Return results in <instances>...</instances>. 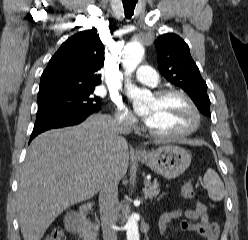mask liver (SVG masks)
Listing matches in <instances>:
<instances>
[{"mask_svg":"<svg viewBox=\"0 0 248 240\" xmlns=\"http://www.w3.org/2000/svg\"><path fill=\"white\" fill-rule=\"evenodd\" d=\"M129 158L126 140L114 132V120L107 115L95 114L80 125L38 135L19 172L23 239L41 240L59 214L96 195L107 174L122 179Z\"/></svg>","mask_w":248,"mask_h":240,"instance_id":"6515ba94","label":"liver"}]
</instances>
